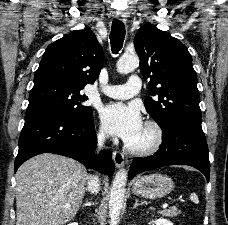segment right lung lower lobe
<instances>
[{"label":"right lung lower lobe","instance_id":"obj_1","mask_svg":"<svg viewBox=\"0 0 228 225\" xmlns=\"http://www.w3.org/2000/svg\"><path fill=\"white\" fill-rule=\"evenodd\" d=\"M96 143L92 114L79 117L56 109L27 113L14 172L35 155L54 153L71 157L110 176L115 171L112 155L109 151L93 154Z\"/></svg>","mask_w":228,"mask_h":225}]
</instances>
